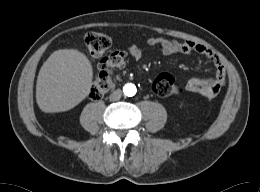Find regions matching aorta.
I'll return each mask as SVG.
<instances>
[{
  "label": "aorta",
  "mask_w": 260,
  "mask_h": 192,
  "mask_svg": "<svg viewBox=\"0 0 260 192\" xmlns=\"http://www.w3.org/2000/svg\"><path fill=\"white\" fill-rule=\"evenodd\" d=\"M136 86L132 83H127L123 87V92L126 96L132 97L136 94Z\"/></svg>",
  "instance_id": "762f6f07"
}]
</instances>
